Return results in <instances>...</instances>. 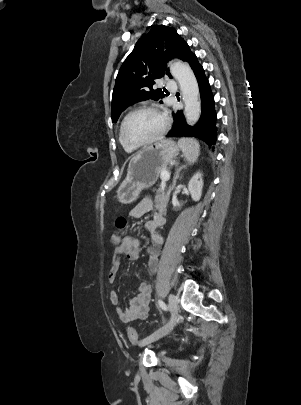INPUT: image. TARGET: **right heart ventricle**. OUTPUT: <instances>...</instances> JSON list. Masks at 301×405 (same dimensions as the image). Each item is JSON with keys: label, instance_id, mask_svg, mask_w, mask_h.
<instances>
[{"label": "right heart ventricle", "instance_id": "e07e8e85", "mask_svg": "<svg viewBox=\"0 0 301 405\" xmlns=\"http://www.w3.org/2000/svg\"><path fill=\"white\" fill-rule=\"evenodd\" d=\"M119 141H120V143H121V145H122V147L124 148L125 151H127V152H133V151L135 150L134 148H132V147L126 145V144L123 142V140H122V138H121V135H120V131H119Z\"/></svg>", "mask_w": 301, "mask_h": 405}]
</instances>
